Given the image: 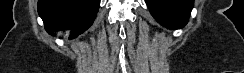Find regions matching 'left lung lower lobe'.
Here are the masks:
<instances>
[{
  "label": "left lung lower lobe",
  "mask_w": 244,
  "mask_h": 73,
  "mask_svg": "<svg viewBox=\"0 0 244 73\" xmlns=\"http://www.w3.org/2000/svg\"><path fill=\"white\" fill-rule=\"evenodd\" d=\"M193 0H146L152 16L163 26L184 27L190 16Z\"/></svg>",
  "instance_id": "obj_1"
}]
</instances>
